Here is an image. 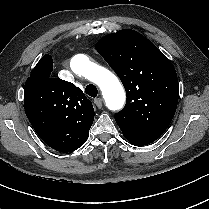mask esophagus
Wrapping results in <instances>:
<instances>
[{"label": "esophagus", "instance_id": "esophagus-1", "mask_svg": "<svg viewBox=\"0 0 209 209\" xmlns=\"http://www.w3.org/2000/svg\"><path fill=\"white\" fill-rule=\"evenodd\" d=\"M94 103L98 108L102 107V99L101 98H95Z\"/></svg>", "mask_w": 209, "mask_h": 209}]
</instances>
